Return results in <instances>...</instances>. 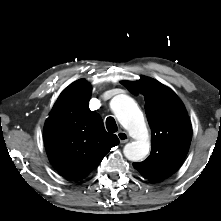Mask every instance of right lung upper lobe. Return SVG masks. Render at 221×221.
I'll list each match as a JSON object with an SVG mask.
<instances>
[{
  "instance_id": "1",
  "label": "right lung upper lobe",
  "mask_w": 221,
  "mask_h": 221,
  "mask_svg": "<svg viewBox=\"0 0 221 221\" xmlns=\"http://www.w3.org/2000/svg\"><path fill=\"white\" fill-rule=\"evenodd\" d=\"M91 86L80 79L59 96L44 125L51 164L70 180L85 178L119 143L106 132L99 114L89 109Z\"/></svg>"
}]
</instances>
